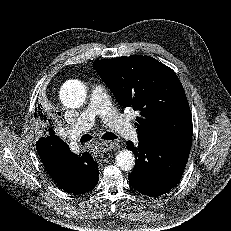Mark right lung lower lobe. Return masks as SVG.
Listing matches in <instances>:
<instances>
[{"label":"right lung lower lobe","mask_w":231,"mask_h":231,"mask_svg":"<svg viewBox=\"0 0 231 231\" xmlns=\"http://www.w3.org/2000/svg\"><path fill=\"white\" fill-rule=\"evenodd\" d=\"M36 149L47 172L63 190L84 194L98 183L97 161L88 152L82 156L73 154L53 130L37 141Z\"/></svg>","instance_id":"right-lung-lower-lobe-1"}]
</instances>
